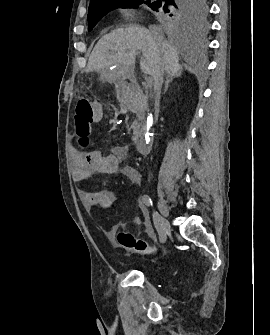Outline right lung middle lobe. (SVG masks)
Returning a JSON list of instances; mask_svg holds the SVG:
<instances>
[{"mask_svg": "<svg viewBox=\"0 0 270 335\" xmlns=\"http://www.w3.org/2000/svg\"><path fill=\"white\" fill-rule=\"evenodd\" d=\"M162 7V0H119L117 2L89 7V31L111 10L119 7L136 8L140 4H147L152 10L159 13V18L170 28L192 30L205 24L208 0H167Z\"/></svg>", "mask_w": 270, "mask_h": 335, "instance_id": "dd1d6c3e", "label": "right lung middle lobe"}]
</instances>
